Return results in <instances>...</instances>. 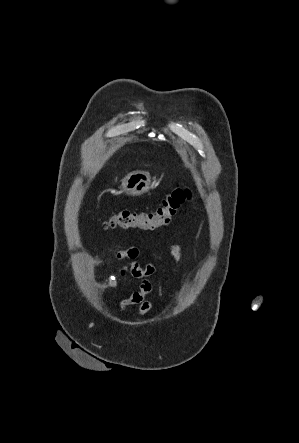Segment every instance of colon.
<instances>
[{"mask_svg":"<svg viewBox=\"0 0 299 443\" xmlns=\"http://www.w3.org/2000/svg\"><path fill=\"white\" fill-rule=\"evenodd\" d=\"M191 199L190 189L176 187L166 194L159 207L154 211L122 210L112 214L104 222V227L153 231L170 224L178 209Z\"/></svg>","mask_w":299,"mask_h":443,"instance_id":"5ec220e1","label":"colon"}]
</instances>
